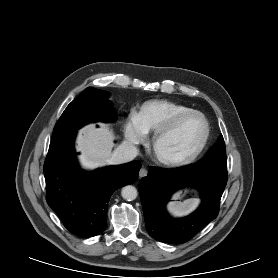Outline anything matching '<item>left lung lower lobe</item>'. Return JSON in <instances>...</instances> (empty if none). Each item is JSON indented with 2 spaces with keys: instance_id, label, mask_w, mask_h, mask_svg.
Segmentation results:
<instances>
[{
  "instance_id": "obj_1",
  "label": "left lung lower lobe",
  "mask_w": 278,
  "mask_h": 278,
  "mask_svg": "<svg viewBox=\"0 0 278 278\" xmlns=\"http://www.w3.org/2000/svg\"><path fill=\"white\" fill-rule=\"evenodd\" d=\"M227 183V173L188 165L178 169L150 167L140 180L139 194L148 233L157 241L185 243L219 213V203ZM196 187L201 194L200 207L190 216L171 219L165 206L171 195L184 187Z\"/></svg>"
}]
</instances>
